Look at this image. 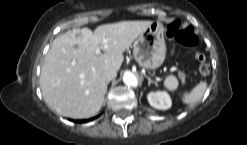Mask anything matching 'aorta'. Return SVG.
<instances>
[{
    "mask_svg": "<svg viewBox=\"0 0 247 145\" xmlns=\"http://www.w3.org/2000/svg\"><path fill=\"white\" fill-rule=\"evenodd\" d=\"M123 82L127 86L136 87L138 85L137 77L129 71H126L123 75Z\"/></svg>",
    "mask_w": 247,
    "mask_h": 145,
    "instance_id": "1",
    "label": "aorta"
}]
</instances>
